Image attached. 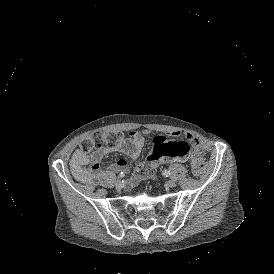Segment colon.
Returning a JSON list of instances; mask_svg holds the SVG:
<instances>
[{"label":"colon","instance_id":"1","mask_svg":"<svg viewBox=\"0 0 274 274\" xmlns=\"http://www.w3.org/2000/svg\"><path fill=\"white\" fill-rule=\"evenodd\" d=\"M119 138V133L98 131L84 138L81 141V147L85 154L95 153L104 142L114 144ZM190 163L195 165V170L198 173H205L208 170L207 154L204 151H193Z\"/></svg>","mask_w":274,"mask_h":274}]
</instances>
